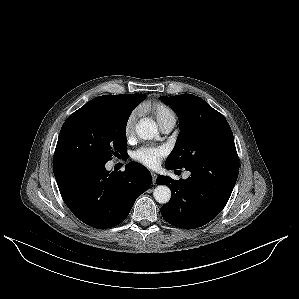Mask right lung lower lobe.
Wrapping results in <instances>:
<instances>
[{
  "instance_id": "98d812e1",
  "label": "right lung lower lobe",
  "mask_w": 299,
  "mask_h": 299,
  "mask_svg": "<svg viewBox=\"0 0 299 299\" xmlns=\"http://www.w3.org/2000/svg\"><path fill=\"white\" fill-rule=\"evenodd\" d=\"M105 164L71 152H57L53 157L65 204L83 223L99 229L120 224L151 184L150 172L137 162L128 163L123 172H109Z\"/></svg>"
}]
</instances>
